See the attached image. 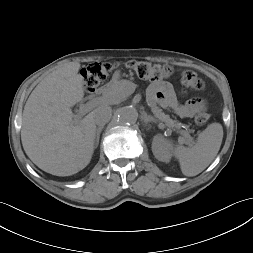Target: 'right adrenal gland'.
<instances>
[{"label": "right adrenal gland", "mask_w": 253, "mask_h": 253, "mask_svg": "<svg viewBox=\"0 0 253 253\" xmlns=\"http://www.w3.org/2000/svg\"><path fill=\"white\" fill-rule=\"evenodd\" d=\"M104 126H100L96 129V137H95V148L98 147L99 144V139H100V134L103 130Z\"/></svg>", "instance_id": "obj_1"}]
</instances>
